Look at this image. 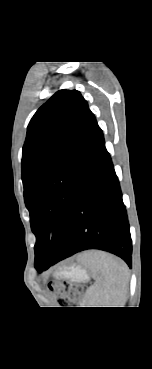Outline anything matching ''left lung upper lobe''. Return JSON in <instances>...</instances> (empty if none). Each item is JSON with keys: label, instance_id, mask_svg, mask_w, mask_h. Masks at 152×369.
Wrapping results in <instances>:
<instances>
[{"label": "left lung upper lobe", "instance_id": "obj_1", "mask_svg": "<svg viewBox=\"0 0 152 369\" xmlns=\"http://www.w3.org/2000/svg\"><path fill=\"white\" fill-rule=\"evenodd\" d=\"M98 124L77 90H59L32 117L22 181L36 236L35 267L58 253L69 226L85 159Z\"/></svg>", "mask_w": 152, "mask_h": 369}]
</instances>
